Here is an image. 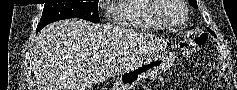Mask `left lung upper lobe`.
<instances>
[{"mask_svg": "<svg viewBox=\"0 0 237 90\" xmlns=\"http://www.w3.org/2000/svg\"><path fill=\"white\" fill-rule=\"evenodd\" d=\"M189 3L194 7V8H198V6H197V2H196V0H189ZM209 30V29H208ZM215 37H216V35H215V33L214 32H212L211 30H209Z\"/></svg>", "mask_w": 237, "mask_h": 90, "instance_id": "obj_1", "label": "left lung upper lobe"}]
</instances>
